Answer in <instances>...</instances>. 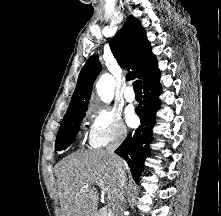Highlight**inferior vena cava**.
Here are the masks:
<instances>
[{"label":"inferior vena cava","instance_id":"602c4592","mask_svg":"<svg viewBox=\"0 0 221 216\" xmlns=\"http://www.w3.org/2000/svg\"><path fill=\"white\" fill-rule=\"evenodd\" d=\"M126 132H121L116 140L109 144L106 148V152L113 158L116 172L118 174L117 195L116 203L114 205L113 216H123V202H124V186L126 184V174L123 168L122 161L115 155L114 151L125 139Z\"/></svg>","mask_w":221,"mask_h":216}]
</instances>
